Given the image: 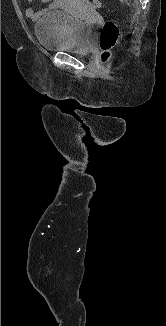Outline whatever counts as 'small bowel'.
<instances>
[{"label": "small bowel", "instance_id": "c3829d8e", "mask_svg": "<svg viewBox=\"0 0 166 326\" xmlns=\"http://www.w3.org/2000/svg\"><path fill=\"white\" fill-rule=\"evenodd\" d=\"M34 0H27L32 3ZM42 3H49V9H59L68 6L69 4L76 3V0H40ZM78 1V0H77ZM82 1V0H81ZM44 11H36L31 7L26 8L25 15L32 21L38 20Z\"/></svg>", "mask_w": 166, "mask_h": 326}]
</instances>
